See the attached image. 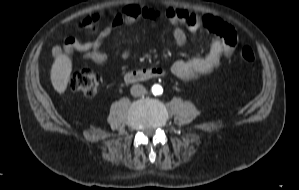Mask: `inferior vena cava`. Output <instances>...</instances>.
<instances>
[{
    "mask_svg": "<svg viewBox=\"0 0 299 190\" xmlns=\"http://www.w3.org/2000/svg\"><path fill=\"white\" fill-rule=\"evenodd\" d=\"M130 92L132 96L140 97L146 94V89L143 85L136 84L131 87Z\"/></svg>",
    "mask_w": 299,
    "mask_h": 190,
    "instance_id": "602c4592",
    "label": "inferior vena cava"
}]
</instances>
